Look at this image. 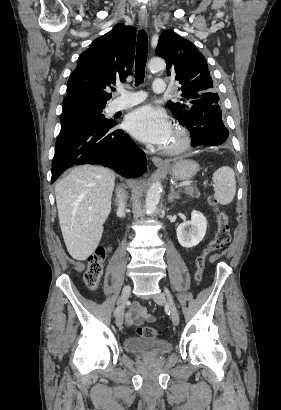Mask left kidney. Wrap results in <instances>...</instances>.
Returning <instances> with one entry per match:
<instances>
[{"mask_svg":"<svg viewBox=\"0 0 281 410\" xmlns=\"http://www.w3.org/2000/svg\"><path fill=\"white\" fill-rule=\"evenodd\" d=\"M188 228H190L189 231ZM206 229V217L201 212L194 210L191 213V220L178 226L176 230L178 242L185 248H192L203 240Z\"/></svg>","mask_w":281,"mask_h":410,"instance_id":"obj_1","label":"left kidney"}]
</instances>
